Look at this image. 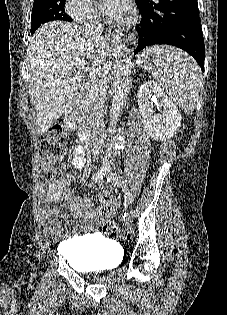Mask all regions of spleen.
Returning <instances> with one entry per match:
<instances>
[{"mask_svg": "<svg viewBox=\"0 0 227 315\" xmlns=\"http://www.w3.org/2000/svg\"><path fill=\"white\" fill-rule=\"evenodd\" d=\"M138 62L179 107L186 113L194 111L203 87V77L191 57L174 47L157 46L142 51Z\"/></svg>", "mask_w": 227, "mask_h": 315, "instance_id": "obj_1", "label": "spleen"}]
</instances>
